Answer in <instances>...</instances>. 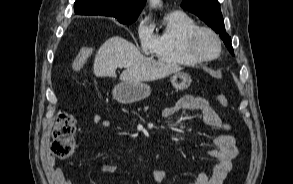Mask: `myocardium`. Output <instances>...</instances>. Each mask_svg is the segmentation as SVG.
Returning a JSON list of instances; mask_svg holds the SVG:
<instances>
[{
  "label": "myocardium",
  "instance_id": "f54148a6",
  "mask_svg": "<svg viewBox=\"0 0 293 184\" xmlns=\"http://www.w3.org/2000/svg\"><path fill=\"white\" fill-rule=\"evenodd\" d=\"M202 33H207L209 35H211L218 46V50L217 53L211 56H207V55H203L201 54L197 47H196V43H197V39L198 37L202 34ZM185 48L187 53L195 60H197L198 62H208V61H212L215 60L216 58H218L222 52V41L219 37V35L213 31L212 29L208 28V27H203V26H198L197 28L193 29L186 38L185 41Z\"/></svg>",
  "mask_w": 293,
  "mask_h": 184
}]
</instances>
